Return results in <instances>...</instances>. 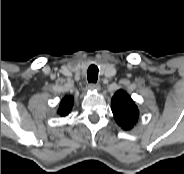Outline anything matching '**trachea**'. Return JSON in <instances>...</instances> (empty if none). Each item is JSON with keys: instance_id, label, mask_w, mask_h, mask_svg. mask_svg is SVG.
<instances>
[{"instance_id": "3493384b", "label": "trachea", "mask_w": 184, "mask_h": 174, "mask_svg": "<svg viewBox=\"0 0 184 174\" xmlns=\"http://www.w3.org/2000/svg\"><path fill=\"white\" fill-rule=\"evenodd\" d=\"M87 79L89 83H96L98 79V67L90 65L87 70Z\"/></svg>"}]
</instances>
